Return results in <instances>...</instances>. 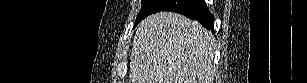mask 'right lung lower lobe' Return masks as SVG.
<instances>
[{"label": "right lung lower lobe", "instance_id": "98d812e1", "mask_svg": "<svg viewBox=\"0 0 307 83\" xmlns=\"http://www.w3.org/2000/svg\"><path fill=\"white\" fill-rule=\"evenodd\" d=\"M158 11H173L183 14L197 20L205 28L214 32V18L204 0H155L148 15Z\"/></svg>", "mask_w": 307, "mask_h": 83}]
</instances>
